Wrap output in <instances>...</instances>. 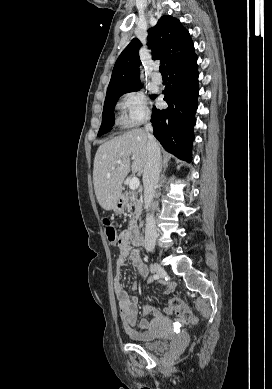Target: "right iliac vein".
<instances>
[{
    "label": "right iliac vein",
    "mask_w": 272,
    "mask_h": 389,
    "mask_svg": "<svg viewBox=\"0 0 272 389\" xmlns=\"http://www.w3.org/2000/svg\"><path fill=\"white\" fill-rule=\"evenodd\" d=\"M151 271L153 273H156L159 277H164L166 276V271L165 269L159 265L158 263L154 262L152 265H151Z\"/></svg>",
    "instance_id": "right-iliac-vein-1"
}]
</instances>
